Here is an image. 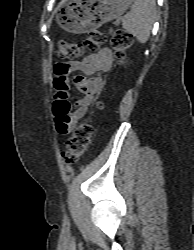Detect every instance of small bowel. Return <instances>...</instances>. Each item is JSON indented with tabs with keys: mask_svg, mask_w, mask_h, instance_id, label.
Instances as JSON below:
<instances>
[{
	"mask_svg": "<svg viewBox=\"0 0 194 250\" xmlns=\"http://www.w3.org/2000/svg\"><path fill=\"white\" fill-rule=\"evenodd\" d=\"M113 60L112 50L103 48L97 53L89 54L81 61L58 63L55 66L56 95L64 96L63 100H60L62 110L55 112L56 129L59 134H69L89 111L95 95L105 87V81L101 74L111 69ZM74 72L81 73L74 77V84L84 96L72 108L68 101V75ZM86 76H89V78Z\"/></svg>",
	"mask_w": 194,
	"mask_h": 250,
	"instance_id": "c3829d8e",
	"label": "small bowel"
}]
</instances>
